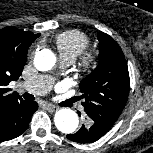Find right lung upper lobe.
<instances>
[{
    "label": "right lung upper lobe",
    "mask_w": 153,
    "mask_h": 153,
    "mask_svg": "<svg viewBox=\"0 0 153 153\" xmlns=\"http://www.w3.org/2000/svg\"><path fill=\"white\" fill-rule=\"evenodd\" d=\"M39 36L14 27L0 30V114L10 105L22 101L16 92H10L8 84L22 74L28 48Z\"/></svg>",
    "instance_id": "obj_1"
}]
</instances>
